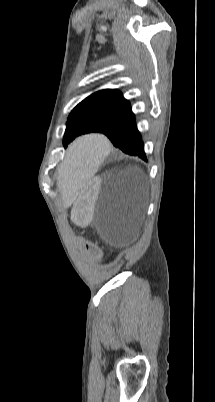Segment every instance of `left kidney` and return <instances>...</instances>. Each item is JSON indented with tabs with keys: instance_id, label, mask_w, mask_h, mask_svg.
<instances>
[{
	"instance_id": "1",
	"label": "left kidney",
	"mask_w": 215,
	"mask_h": 402,
	"mask_svg": "<svg viewBox=\"0 0 215 402\" xmlns=\"http://www.w3.org/2000/svg\"><path fill=\"white\" fill-rule=\"evenodd\" d=\"M100 181L95 178L94 182H89L85 185L84 190L80 194V197L75 202L73 209V221L77 222L78 229L81 232L86 231L87 226L84 222L91 221V209H94L96 199V193L101 191Z\"/></svg>"
}]
</instances>
